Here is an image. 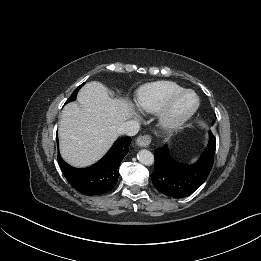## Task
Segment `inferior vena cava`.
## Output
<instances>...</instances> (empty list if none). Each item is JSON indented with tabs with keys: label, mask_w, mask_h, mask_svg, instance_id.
<instances>
[{
	"label": "inferior vena cava",
	"mask_w": 261,
	"mask_h": 261,
	"mask_svg": "<svg viewBox=\"0 0 261 261\" xmlns=\"http://www.w3.org/2000/svg\"><path fill=\"white\" fill-rule=\"evenodd\" d=\"M140 128V125L137 121L130 120L124 122L120 128H119V133L120 134H125L127 136H134L138 133Z\"/></svg>",
	"instance_id": "obj_1"
}]
</instances>
